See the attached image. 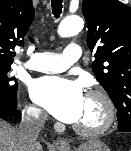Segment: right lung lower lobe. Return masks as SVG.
<instances>
[{
	"label": "right lung lower lobe",
	"mask_w": 131,
	"mask_h": 151,
	"mask_svg": "<svg viewBox=\"0 0 131 151\" xmlns=\"http://www.w3.org/2000/svg\"><path fill=\"white\" fill-rule=\"evenodd\" d=\"M17 109L16 96L14 98H6L0 96V118H7Z\"/></svg>",
	"instance_id": "obj_1"
}]
</instances>
